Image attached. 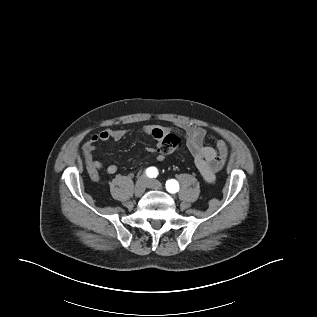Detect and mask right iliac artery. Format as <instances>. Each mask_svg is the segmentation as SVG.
Returning <instances> with one entry per match:
<instances>
[{"label":"right iliac artery","mask_w":317,"mask_h":317,"mask_svg":"<svg viewBox=\"0 0 317 317\" xmlns=\"http://www.w3.org/2000/svg\"><path fill=\"white\" fill-rule=\"evenodd\" d=\"M146 175L150 178H156L158 175V170L156 167H149L146 169Z\"/></svg>","instance_id":"right-iliac-artery-1"}]
</instances>
